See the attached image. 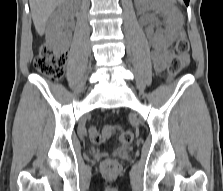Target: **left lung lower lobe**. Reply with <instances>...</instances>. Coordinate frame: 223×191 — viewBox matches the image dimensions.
I'll return each mask as SVG.
<instances>
[{
    "mask_svg": "<svg viewBox=\"0 0 223 191\" xmlns=\"http://www.w3.org/2000/svg\"><path fill=\"white\" fill-rule=\"evenodd\" d=\"M184 2L186 3V5H188V4H189V0H184Z\"/></svg>",
    "mask_w": 223,
    "mask_h": 191,
    "instance_id": "obj_1",
    "label": "left lung lower lobe"
}]
</instances>
